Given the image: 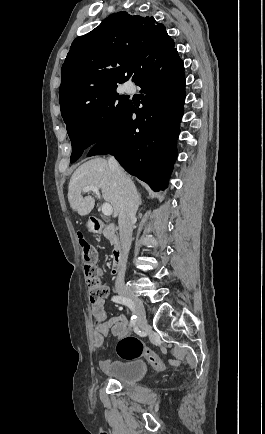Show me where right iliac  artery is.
Segmentation results:
<instances>
[{
  "instance_id": "1",
  "label": "right iliac artery",
  "mask_w": 265,
  "mask_h": 434,
  "mask_svg": "<svg viewBox=\"0 0 265 434\" xmlns=\"http://www.w3.org/2000/svg\"><path fill=\"white\" fill-rule=\"evenodd\" d=\"M111 300L113 302H116V303L128 306L133 311V313H135V310H134V307L132 305V302L130 300H128L127 298H125L123 296H120V295H115V296L112 297ZM136 319H137V316L135 314H133V316L131 317V320H130V325L131 326L135 325Z\"/></svg>"
}]
</instances>
